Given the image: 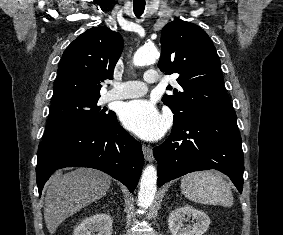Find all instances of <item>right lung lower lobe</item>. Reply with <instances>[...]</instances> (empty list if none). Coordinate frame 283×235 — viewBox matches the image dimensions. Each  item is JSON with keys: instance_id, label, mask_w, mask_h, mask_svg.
Returning <instances> with one entry per match:
<instances>
[{"instance_id": "obj_1", "label": "right lung lower lobe", "mask_w": 283, "mask_h": 235, "mask_svg": "<svg viewBox=\"0 0 283 235\" xmlns=\"http://www.w3.org/2000/svg\"><path fill=\"white\" fill-rule=\"evenodd\" d=\"M143 162L141 144L119 125L116 114L112 112L98 125L71 131L39 144L38 191L41 195L44 184L59 168L90 167L109 174L133 192Z\"/></svg>"}]
</instances>
